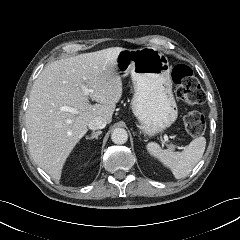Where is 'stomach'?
I'll return each mask as SVG.
<instances>
[{"instance_id":"obj_1","label":"stomach","mask_w":240,"mask_h":240,"mask_svg":"<svg viewBox=\"0 0 240 240\" xmlns=\"http://www.w3.org/2000/svg\"><path fill=\"white\" fill-rule=\"evenodd\" d=\"M116 70L120 76H131L132 111L145 135L154 136L175 122L178 110L164 53L153 47L123 49L117 55Z\"/></svg>"}]
</instances>
